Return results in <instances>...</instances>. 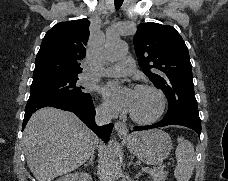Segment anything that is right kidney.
Instances as JSON below:
<instances>
[{"label": "right kidney", "instance_id": "right-kidney-1", "mask_svg": "<svg viewBox=\"0 0 228 181\" xmlns=\"http://www.w3.org/2000/svg\"><path fill=\"white\" fill-rule=\"evenodd\" d=\"M57 181H91V175L88 173H71V175L60 177Z\"/></svg>", "mask_w": 228, "mask_h": 181}]
</instances>
